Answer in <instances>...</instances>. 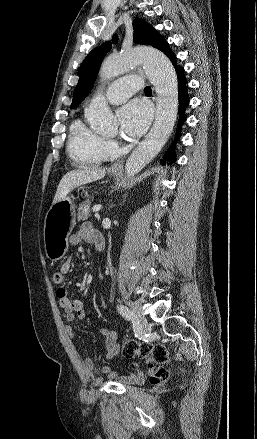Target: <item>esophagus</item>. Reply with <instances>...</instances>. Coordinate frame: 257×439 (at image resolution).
I'll return each instance as SVG.
<instances>
[{"label": "esophagus", "instance_id": "34e87169", "mask_svg": "<svg viewBox=\"0 0 257 439\" xmlns=\"http://www.w3.org/2000/svg\"><path fill=\"white\" fill-rule=\"evenodd\" d=\"M112 170H122L123 169V160H118L112 165Z\"/></svg>", "mask_w": 257, "mask_h": 439}]
</instances>
